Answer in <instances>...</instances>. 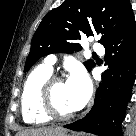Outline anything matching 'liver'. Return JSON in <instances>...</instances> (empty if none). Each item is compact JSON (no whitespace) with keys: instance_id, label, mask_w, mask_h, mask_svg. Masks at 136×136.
I'll return each instance as SVG.
<instances>
[{"instance_id":"1","label":"liver","mask_w":136,"mask_h":136,"mask_svg":"<svg viewBox=\"0 0 136 136\" xmlns=\"http://www.w3.org/2000/svg\"><path fill=\"white\" fill-rule=\"evenodd\" d=\"M66 132L61 127H48L38 129H28L16 134V136H54L55 134Z\"/></svg>"}]
</instances>
